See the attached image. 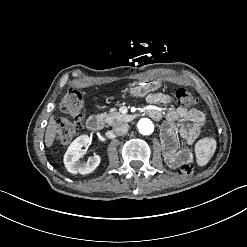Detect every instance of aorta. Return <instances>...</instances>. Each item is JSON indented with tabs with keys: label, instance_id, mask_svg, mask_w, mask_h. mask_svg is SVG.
Listing matches in <instances>:
<instances>
[{
	"label": "aorta",
	"instance_id": "aorta-1",
	"mask_svg": "<svg viewBox=\"0 0 247 247\" xmlns=\"http://www.w3.org/2000/svg\"><path fill=\"white\" fill-rule=\"evenodd\" d=\"M137 127L139 129V132L143 135H150L154 131L153 122L148 118L140 119Z\"/></svg>",
	"mask_w": 247,
	"mask_h": 247
}]
</instances>
